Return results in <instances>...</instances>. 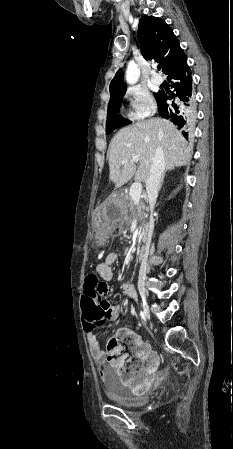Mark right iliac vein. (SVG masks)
Listing matches in <instances>:
<instances>
[{
	"label": "right iliac vein",
	"instance_id": "obj_1",
	"mask_svg": "<svg viewBox=\"0 0 233 449\" xmlns=\"http://www.w3.org/2000/svg\"><path fill=\"white\" fill-rule=\"evenodd\" d=\"M142 301H143L142 307H143V310H144L145 317L149 320L150 319V311H149V308H148V305H147V302H146V298L143 297Z\"/></svg>",
	"mask_w": 233,
	"mask_h": 449
}]
</instances>
